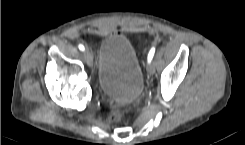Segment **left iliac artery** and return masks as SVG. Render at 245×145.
<instances>
[{
	"mask_svg": "<svg viewBox=\"0 0 245 145\" xmlns=\"http://www.w3.org/2000/svg\"><path fill=\"white\" fill-rule=\"evenodd\" d=\"M154 53H155V47H152L151 50L149 51V54H148V62H151V60L154 56Z\"/></svg>",
	"mask_w": 245,
	"mask_h": 145,
	"instance_id": "left-iliac-artery-1",
	"label": "left iliac artery"
}]
</instances>
